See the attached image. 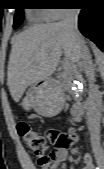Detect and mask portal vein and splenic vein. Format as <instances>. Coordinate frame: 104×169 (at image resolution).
<instances>
[{"instance_id": "obj_1", "label": "portal vein and splenic vein", "mask_w": 104, "mask_h": 169, "mask_svg": "<svg viewBox=\"0 0 104 169\" xmlns=\"http://www.w3.org/2000/svg\"><path fill=\"white\" fill-rule=\"evenodd\" d=\"M64 69L68 71H74L76 69V66L70 62V61H65L63 63Z\"/></svg>"}]
</instances>
